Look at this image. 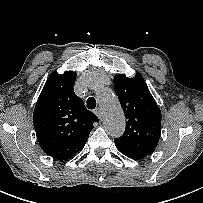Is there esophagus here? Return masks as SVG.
<instances>
[{
  "mask_svg": "<svg viewBox=\"0 0 203 203\" xmlns=\"http://www.w3.org/2000/svg\"><path fill=\"white\" fill-rule=\"evenodd\" d=\"M95 114H96V116H97L99 119L102 118V111H101L100 108H97V109L95 110Z\"/></svg>",
  "mask_w": 203,
  "mask_h": 203,
  "instance_id": "esophagus-1",
  "label": "esophagus"
}]
</instances>
